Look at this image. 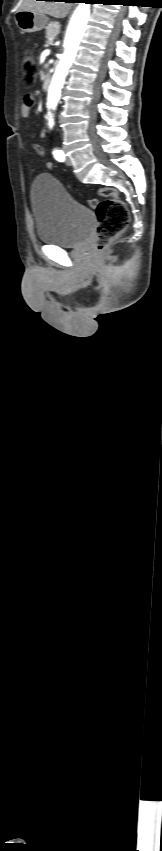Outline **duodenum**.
<instances>
[{"label":"duodenum","instance_id":"duodenum-1","mask_svg":"<svg viewBox=\"0 0 162 851\" xmlns=\"http://www.w3.org/2000/svg\"><path fill=\"white\" fill-rule=\"evenodd\" d=\"M51 78L49 74H45L41 80V87L43 90H48L50 86Z\"/></svg>","mask_w":162,"mask_h":851}]
</instances>
